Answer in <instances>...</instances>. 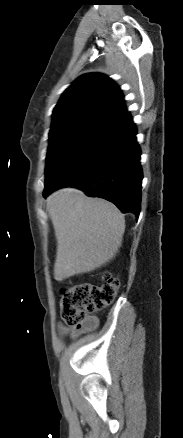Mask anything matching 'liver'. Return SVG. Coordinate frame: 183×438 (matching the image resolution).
Here are the masks:
<instances>
[{
    "label": "liver",
    "mask_w": 183,
    "mask_h": 438,
    "mask_svg": "<svg viewBox=\"0 0 183 438\" xmlns=\"http://www.w3.org/2000/svg\"><path fill=\"white\" fill-rule=\"evenodd\" d=\"M47 208L57 239V281L91 272L118 253L125 219L111 202L64 188L48 197Z\"/></svg>",
    "instance_id": "1"
}]
</instances>
